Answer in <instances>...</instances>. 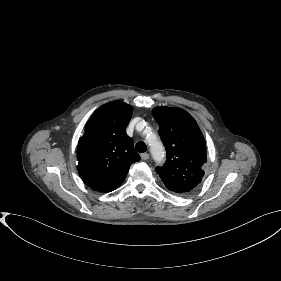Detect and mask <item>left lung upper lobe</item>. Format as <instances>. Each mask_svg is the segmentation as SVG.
Listing matches in <instances>:
<instances>
[{"label": "left lung upper lobe", "instance_id": "5c2ea615", "mask_svg": "<svg viewBox=\"0 0 281 281\" xmlns=\"http://www.w3.org/2000/svg\"><path fill=\"white\" fill-rule=\"evenodd\" d=\"M153 116L167 151V160L156 172L165 187L177 194L194 192L206 169V144L194 118L173 107H156Z\"/></svg>", "mask_w": 281, "mask_h": 281}]
</instances>
